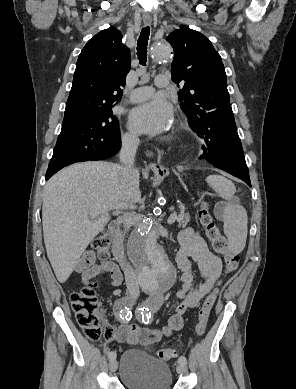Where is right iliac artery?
Listing matches in <instances>:
<instances>
[{
  "label": "right iliac artery",
  "mask_w": 296,
  "mask_h": 389,
  "mask_svg": "<svg viewBox=\"0 0 296 389\" xmlns=\"http://www.w3.org/2000/svg\"><path fill=\"white\" fill-rule=\"evenodd\" d=\"M131 304H128V299L127 298H122L118 301L116 305V316L119 320L125 321V314H126V309L131 308ZM109 359H114L116 358V353L115 352H109L107 351Z\"/></svg>",
  "instance_id": "1"
}]
</instances>
